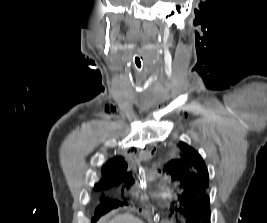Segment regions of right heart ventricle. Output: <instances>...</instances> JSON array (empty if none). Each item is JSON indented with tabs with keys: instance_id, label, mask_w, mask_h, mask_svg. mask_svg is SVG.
I'll use <instances>...</instances> for the list:
<instances>
[{
	"instance_id": "1",
	"label": "right heart ventricle",
	"mask_w": 267,
	"mask_h": 223,
	"mask_svg": "<svg viewBox=\"0 0 267 223\" xmlns=\"http://www.w3.org/2000/svg\"><path fill=\"white\" fill-rule=\"evenodd\" d=\"M159 195L163 198H168V199L174 197V194L166 187V185L162 187Z\"/></svg>"
}]
</instances>
